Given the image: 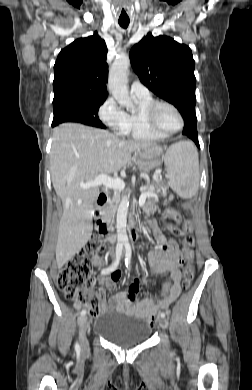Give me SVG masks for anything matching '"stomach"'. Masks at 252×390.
Returning a JSON list of instances; mask_svg holds the SVG:
<instances>
[{
  "label": "stomach",
  "mask_w": 252,
  "mask_h": 390,
  "mask_svg": "<svg viewBox=\"0 0 252 390\" xmlns=\"http://www.w3.org/2000/svg\"><path fill=\"white\" fill-rule=\"evenodd\" d=\"M162 150L157 148H147L136 152V163L143 172H149L161 164Z\"/></svg>",
  "instance_id": "obj_1"
}]
</instances>
